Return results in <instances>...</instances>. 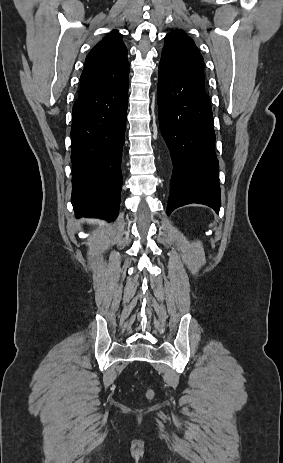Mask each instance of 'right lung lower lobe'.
Returning <instances> with one entry per match:
<instances>
[{
	"instance_id": "obj_1",
	"label": "right lung lower lobe",
	"mask_w": 283,
	"mask_h": 463,
	"mask_svg": "<svg viewBox=\"0 0 283 463\" xmlns=\"http://www.w3.org/2000/svg\"><path fill=\"white\" fill-rule=\"evenodd\" d=\"M128 76L79 95L71 128L72 205L77 217L114 221L120 206Z\"/></svg>"
}]
</instances>
